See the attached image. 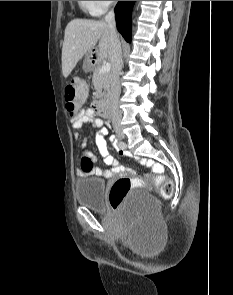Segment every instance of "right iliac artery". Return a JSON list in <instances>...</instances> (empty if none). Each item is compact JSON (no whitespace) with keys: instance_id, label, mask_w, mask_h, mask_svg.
Returning a JSON list of instances; mask_svg holds the SVG:
<instances>
[{"instance_id":"1","label":"right iliac artery","mask_w":233,"mask_h":295,"mask_svg":"<svg viewBox=\"0 0 233 295\" xmlns=\"http://www.w3.org/2000/svg\"><path fill=\"white\" fill-rule=\"evenodd\" d=\"M121 147H125V144L123 142H118V148H121Z\"/></svg>"}]
</instances>
